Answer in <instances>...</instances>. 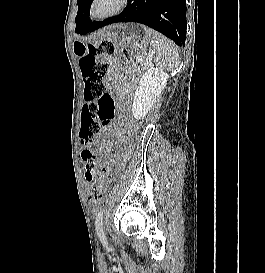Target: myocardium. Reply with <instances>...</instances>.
Instances as JSON below:
<instances>
[{
	"mask_svg": "<svg viewBox=\"0 0 265 273\" xmlns=\"http://www.w3.org/2000/svg\"><path fill=\"white\" fill-rule=\"evenodd\" d=\"M129 1L130 0H117L116 5L111 10H109L108 12L104 14L97 15L94 11V7H95V4L98 2V0H91L88 7L89 17L95 21H102V20L112 18L118 15L119 13H121L124 9H126V7L129 4Z\"/></svg>",
	"mask_w": 265,
	"mask_h": 273,
	"instance_id": "obj_1",
	"label": "myocardium"
}]
</instances>
